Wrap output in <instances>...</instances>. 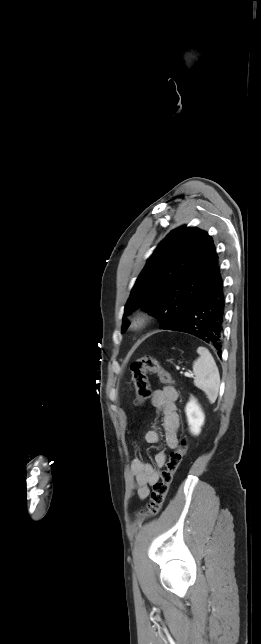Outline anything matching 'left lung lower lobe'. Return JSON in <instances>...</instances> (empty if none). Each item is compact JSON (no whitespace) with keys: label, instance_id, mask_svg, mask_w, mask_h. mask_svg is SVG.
<instances>
[{"label":"left lung lower lobe","instance_id":"1","mask_svg":"<svg viewBox=\"0 0 261 644\" xmlns=\"http://www.w3.org/2000/svg\"><path fill=\"white\" fill-rule=\"evenodd\" d=\"M225 295L221 271L185 313L165 330L189 333L212 345L221 356Z\"/></svg>","mask_w":261,"mask_h":644}]
</instances>
